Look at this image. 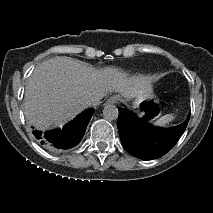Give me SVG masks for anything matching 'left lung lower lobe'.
Instances as JSON below:
<instances>
[{"mask_svg":"<svg viewBox=\"0 0 213 213\" xmlns=\"http://www.w3.org/2000/svg\"><path fill=\"white\" fill-rule=\"evenodd\" d=\"M117 127L124 148L135 157L152 160L166 154L184 133L185 122L173 128H157L123 108H118Z\"/></svg>","mask_w":213,"mask_h":213,"instance_id":"obj_1","label":"left lung lower lobe"}]
</instances>
